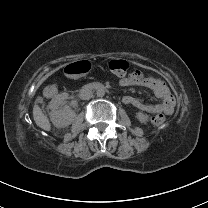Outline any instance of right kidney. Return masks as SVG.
Returning <instances> with one entry per match:
<instances>
[{"instance_id":"right-kidney-1","label":"right kidney","mask_w":208,"mask_h":208,"mask_svg":"<svg viewBox=\"0 0 208 208\" xmlns=\"http://www.w3.org/2000/svg\"><path fill=\"white\" fill-rule=\"evenodd\" d=\"M68 98V93H60L55 95L49 103L51 109L50 119L57 128H63L72 124L76 117V113L69 106L60 107L65 104Z\"/></svg>"}]
</instances>
